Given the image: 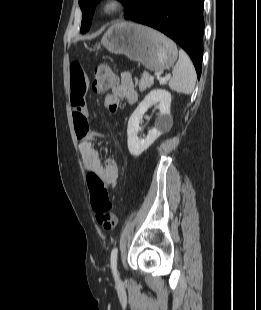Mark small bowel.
I'll return each instance as SVG.
<instances>
[{
	"mask_svg": "<svg viewBox=\"0 0 261 310\" xmlns=\"http://www.w3.org/2000/svg\"><path fill=\"white\" fill-rule=\"evenodd\" d=\"M71 105L74 126L84 166L87 170L98 174L106 184L115 187L118 180V165L115 159L108 158L102 165L98 151L93 145V140L101 134L89 130L88 111L85 104L86 79L83 67L78 62L70 66ZM138 95L134 82L129 74H124L111 88V93L105 97L104 104L109 110H116L120 100L135 103Z\"/></svg>",
	"mask_w": 261,
	"mask_h": 310,
	"instance_id": "c3829d8e",
	"label": "small bowel"
}]
</instances>
